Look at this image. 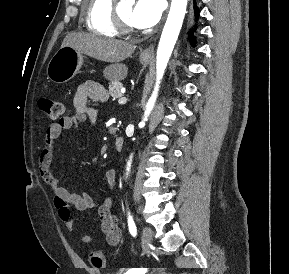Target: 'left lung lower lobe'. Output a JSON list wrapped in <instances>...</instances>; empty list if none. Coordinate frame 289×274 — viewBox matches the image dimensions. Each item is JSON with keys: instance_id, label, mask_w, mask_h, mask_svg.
Wrapping results in <instances>:
<instances>
[{"instance_id": "left-lung-lower-lobe-1", "label": "left lung lower lobe", "mask_w": 289, "mask_h": 274, "mask_svg": "<svg viewBox=\"0 0 289 274\" xmlns=\"http://www.w3.org/2000/svg\"><path fill=\"white\" fill-rule=\"evenodd\" d=\"M194 11H195V15H196V17H198L199 16V10H198V8L196 7V6H194ZM190 40L193 42V40H194V37H193V33L191 32V34H190Z\"/></svg>"}]
</instances>
